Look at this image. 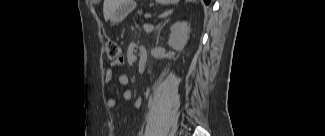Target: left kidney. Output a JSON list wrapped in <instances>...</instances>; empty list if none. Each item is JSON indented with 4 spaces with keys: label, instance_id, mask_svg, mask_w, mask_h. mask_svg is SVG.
Returning <instances> with one entry per match:
<instances>
[{
    "label": "left kidney",
    "instance_id": "obj_1",
    "mask_svg": "<svg viewBox=\"0 0 325 136\" xmlns=\"http://www.w3.org/2000/svg\"><path fill=\"white\" fill-rule=\"evenodd\" d=\"M171 34L168 44L175 50L181 51L184 49L189 39L190 26L187 22H176L170 28Z\"/></svg>",
    "mask_w": 325,
    "mask_h": 136
}]
</instances>
